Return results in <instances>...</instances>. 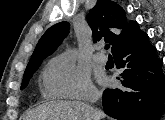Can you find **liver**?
Masks as SVG:
<instances>
[{
    "instance_id": "1",
    "label": "liver",
    "mask_w": 165,
    "mask_h": 120,
    "mask_svg": "<svg viewBox=\"0 0 165 120\" xmlns=\"http://www.w3.org/2000/svg\"><path fill=\"white\" fill-rule=\"evenodd\" d=\"M105 114L79 101H52L32 110L26 120H100Z\"/></svg>"
}]
</instances>
